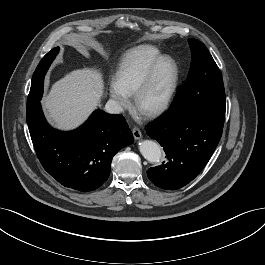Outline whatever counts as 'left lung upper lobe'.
<instances>
[{
    "instance_id": "5c2ea615",
    "label": "left lung upper lobe",
    "mask_w": 265,
    "mask_h": 265,
    "mask_svg": "<svg viewBox=\"0 0 265 265\" xmlns=\"http://www.w3.org/2000/svg\"><path fill=\"white\" fill-rule=\"evenodd\" d=\"M188 41L191 67L169 111L193 110L223 126L226 101L221 72L203 43Z\"/></svg>"
}]
</instances>
